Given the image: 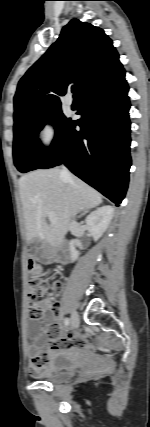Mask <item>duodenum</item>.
Segmentation results:
<instances>
[{
  "label": "duodenum",
  "mask_w": 150,
  "mask_h": 427,
  "mask_svg": "<svg viewBox=\"0 0 150 427\" xmlns=\"http://www.w3.org/2000/svg\"><path fill=\"white\" fill-rule=\"evenodd\" d=\"M65 259H66L65 254L62 253L59 257L60 262H62V263L65 262Z\"/></svg>",
  "instance_id": "obj_1"
}]
</instances>
